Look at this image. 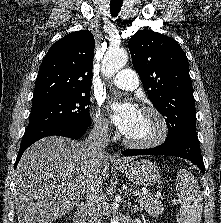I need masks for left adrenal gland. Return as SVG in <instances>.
Returning <instances> with one entry per match:
<instances>
[{
  "label": "left adrenal gland",
  "instance_id": "a2214340",
  "mask_svg": "<svg viewBox=\"0 0 221 223\" xmlns=\"http://www.w3.org/2000/svg\"><path fill=\"white\" fill-rule=\"evenodd\" d=\"M129 207L131 208L132 213H137L141 211V208H139L137 205L132 206L131 203H129Z\"/></svg>",
  "mask_w": 221,
  "mask_h": 223
}]
</instances>
